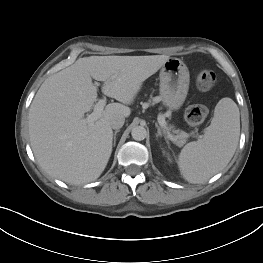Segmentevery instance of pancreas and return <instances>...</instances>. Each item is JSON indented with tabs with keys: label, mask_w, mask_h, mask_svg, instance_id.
Returning a JSON list of instances; mask_svg holds the SVG:
<instances>
[{
	"label": "pancreas",
	"mask_w": 263,
	"mask_h": 263,
	"mask_svg": "<svg viewBox=\"0 0 263 263\" xmlns=\"http://www.w3.org/2000/svg\"><path fill=\"white\" fill-rule=\"evenodd\" d=\"M173 132L176 134V135H174L175 136V141L174 142L178 146H182L183 144L186 143L187 138L189 137V134H187L184 131H180V130H173Z\"/></svg>",
	"instance_id": "cf45deb5"
}]
</instances>
